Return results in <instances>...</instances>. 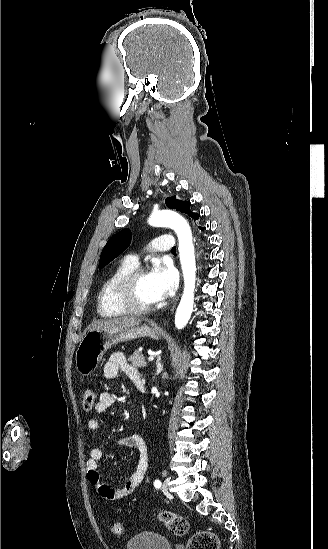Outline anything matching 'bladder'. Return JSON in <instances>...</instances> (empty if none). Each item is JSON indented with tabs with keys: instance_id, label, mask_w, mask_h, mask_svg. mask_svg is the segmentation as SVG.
Returning a JSON list of instances; mask_svg holds the SVG:
<instances>
[{
	"instance_id": "obj_1",
	"label": "bladder",
	"mask_w": 328,
	"mask_h": 549,
	"mask_svg": "<svg viewBox=\"0 0 328 549\" xmlns=\"http://www.w3.org/2000/svg\"><path fill=\"white\" fill-rule=\"evenodd\" d=\"M128 549H172L171 542L159 534L137 533L130 537Z\"/></svg>"
}]
</instances>
